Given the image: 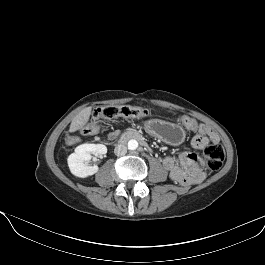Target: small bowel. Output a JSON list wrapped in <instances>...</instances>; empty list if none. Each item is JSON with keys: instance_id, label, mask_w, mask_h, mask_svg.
Here are the masks:
<instances>
[{"instance_id": "c3829d8e", "label": "small bowel", "mask_w": 265, "mask_h": 265, "mask_svg": "<svg viewBox=\"0 0 265 265\" xmlns=\"http://www.w3.org/2000/svg\"><path fill=\"white\" fill-rule=\"evenodd\" d=\"M196 128H188L197 132L191 141L196 149H203L209 143H217L218 135L209 126L196 121ZM119 131L112 129L107 133L108 140H115ZM165 169L169 172L171 179L183 186L199 184L206 178L202 162L197 154L192 152H181L177 156H167L163 160Z\"/></svg>"}]
</instances>
